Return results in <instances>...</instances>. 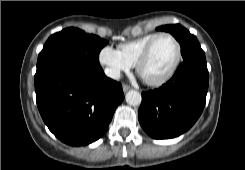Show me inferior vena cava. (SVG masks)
<instances>
[{
    "mask_svg": "<svg viewBox=\"0 0 245 170\" xmlns=\"http://www.w3.org/2000/svg\"><path fill=\"white\" fill-rule=\"evenodd\" d=\"M106 76L112 78V79H119L120 78V71L117 69H113V68H106L104 70Z\"/></svg>",
    "mask_w": 245,
    "mask_h": 170,
    "instance_id": "inferior-vena-cava-1",
    "label": "inferior vena cava"
}]
</instances>
